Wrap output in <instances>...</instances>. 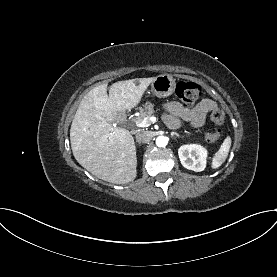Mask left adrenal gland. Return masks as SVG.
<instances>
[{"instance_id":"left-adrenal-gland-1","label":"left adrenal gland","mask_w":277,"mask_h":277,"mask_svg":"<svg viewBox=\"0 0 277 277\" xmlns=\"http://www.w3.org/2000/svg\"><path fill=\"white\" fill-rule=\"evenodd\" d=\"M173 136L179 137V134H178L177 132H172V133H171V137H173Z\"/></svg>"}]
</instances>
